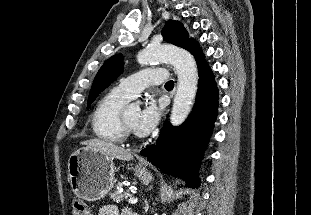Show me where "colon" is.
Returning a JSON list of instances; mask_svg holds the SVG:
<instances>
[{
    "label": "colon",
    "instance_id": "obj_1",
    "mask_svg": "<svg viewBox=\"0 0 311 215\" xmlns=\"http://www.w3.org/2000/svg\"><path fill=\"white\" fill-rule=\"evenodd\" d=\"M73 215H92L88 204L81 199H74L72 203Z\"/></svg>",
    "mask_w": 311,
    "mask_h": 215
}]
</instances>
